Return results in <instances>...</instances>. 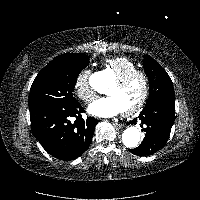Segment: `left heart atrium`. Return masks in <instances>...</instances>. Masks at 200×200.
<instances>
[{"mask_svg": "<svg viewBox=\"0 0 200 200\" xmlns=\"http://www.w3.org/2000/svg\"><path fill=\"white\" fill-rule=\"evenodd\" d=\"M123 111L117 98L111 95L95 100L88 108L90 114L102 118L114 117Z\"/></svg>", "mask_w": 200, "mask_h": 200, "instance_id": "39dd6f15", "label": "left heart atrium"}]
</instances>
